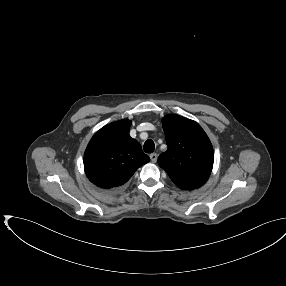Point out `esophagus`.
I'll return each mask as SVG.
<instances>
[{
    "mask_svg": "<svg viewBox=\"0 0 286 286\" xmlns=\"http://www.w3.org/2000/svg\"><path fill=\"white\" fill-rule=\"evenodd\" d=\"M157 158H158V156L156 153L150 154V159L153 163H155L157 161Z\"/></svg>",
    "mask_w": 286,
    "mask_h": 286,
    "instance_id": "esophagus-1",
    "label": "esophagus"
}]
</instances>
